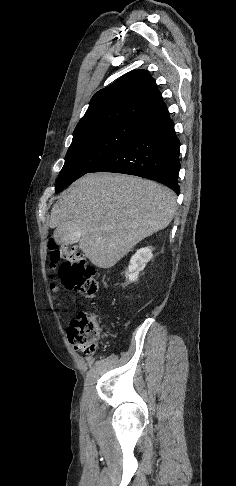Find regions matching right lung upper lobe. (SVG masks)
Here are the masks:
<instances>
[{"label": "right lung upper lobe", "instance_id": "cb5924a9", "mask_svg": "<svg viewBox=\"0 0 236 486\" xmlns=\"http://www.w3.org/2000/svg\"><path fill=\"white\" fill-rule=\"evenodd\" d=\"M165 109L150 73L132 71L94 94L73 135L114 124H139L147 116Z\"/></svg>", "mask_w": 236, "mask_h": 486}]
</instances>
